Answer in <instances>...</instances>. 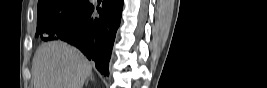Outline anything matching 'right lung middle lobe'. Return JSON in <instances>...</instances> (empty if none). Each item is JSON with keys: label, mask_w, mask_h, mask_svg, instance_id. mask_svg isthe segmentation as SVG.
<instances>
[{"label": "right lung middle lobe", "mask_w": 267, "mask_h": 88, "mask_svg": "<svg viewBox=\"0 0 267 88\" xmlns=\"http://www.w3.org/2000/svg\"><path fill=\"white\" fill-rule=\"evenodd\" d=\"M89 5L87 0H39L35 36L51 40L57 29L74 22Z\"/></svg>", "instance_id": "right-lung-middle-lobe-1"}]
</instances>
